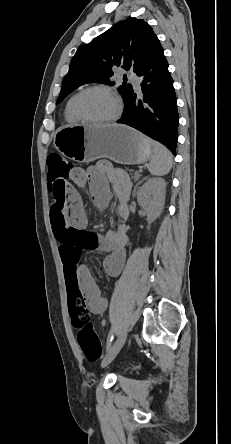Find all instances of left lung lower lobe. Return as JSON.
Returning a JSON list of instances; mask_svg holds the SVG:
<instances>
[{
  "label": "left lung lower lobe",
  "mask_w": 231,
  "mask_h": 444,
  "mask_svg": "<svg viewBox=\"0 0 231 444\" xmlns=\"http://www.w3.org/2000/svg\"><path fill=\"white\" fill-rule=\"evenodd\" d=\"M163 48L137 72L142 96L132 89L118 123L129 125L166 145L175 154L179 116L173 80Z\"/></svg>",
  "instance_id": "1"
}]
</instances>
